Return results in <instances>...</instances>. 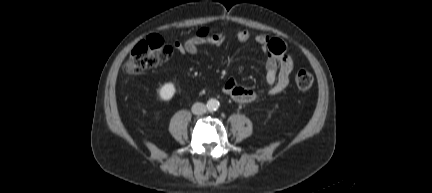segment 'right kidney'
<instances>
[{"label":"right kidney","mask_w":432,"mask_h":193,"mask_svg":"<svg viewBox=\"0 0 432 193\" xmlns=\"http://www.w3.org/2000/svg\"><path fill=\"white\" fill-rule=\"evenodd\" d=\"M176 92L175 85L172 82L165 83L159 90V98L162 101H169Z\"/></svg>","instance_id":"right-kidney-1"}]
</instances>
